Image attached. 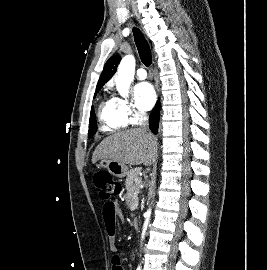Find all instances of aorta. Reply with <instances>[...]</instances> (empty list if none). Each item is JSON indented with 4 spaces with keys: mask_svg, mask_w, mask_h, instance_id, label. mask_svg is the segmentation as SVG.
Instances as JSON below:
<instances>
[{
    "mask_svg": "<svg viewBox=\"0 0 267 270\" xmlns=\"http://www.w3.org/2000/svg\"><path fill=\"white\" fill-rule=\"evenodd\" d=\"M134 73H135V58L133 55H126L121 60L118 66L117 75L115 77L116 89L121 96L123 97L128 96L129 87L134 79ZM150 215L151 209H148L147 212L145 213V222L143 226L142 238L144 237L145 231L149 224Z\"/></svg>",
    "mask_w": 267,
    "mask_h": 270,
    "instance_id": "aorta-1",
    "label": "aorta"
}]
</instances>
